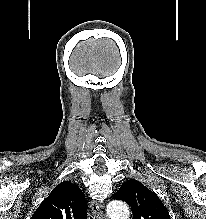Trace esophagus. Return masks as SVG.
I'll use <instances>...</instances> for the list:
<instances>
[{
  "label": "esophagus",
  "mask_w": 206,
  "mask_h": 219,
  "mask_svg": "<svg viewBox=\"0 0 206 219\" xmlns=\"http://www.w3.org/2000/svg\"><path fill=\"white\" fill-rule=\"evenodd\" d=\"M90 208L95 219H107V216L101 210V206L97 201L92 200L90 203Z\"/></svg>",
  "instance_id": "obj_1"
}]
</instances>
